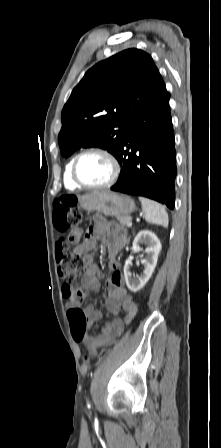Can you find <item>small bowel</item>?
Listing matches in <instances>:
<instances>
[{
  "instance_id": "1",
  "label": "small bowel",
  "mask_w": 221,
  "mask_h": 448,
  "mask_svg": "<svg viewBox=\"0 0 221 448\" xmlns=\"http://www.w3.org/2000/svg\"><path fill=\"white\" fill-rule=\"evenodd\" d=\"M94 222L95 225L92 228L90 237L77 247V250L85 254L87 259V267L82 283L92 293H97L100 289L99 281L96 278L98 267L92 262L90 252L101 242L108 249V262L109 267L112 269V274L107 280L108 295L105 300V306L115 316V319L108 323L99 334H87L84 337V343L87 348L91 353L96 354L99 349L112 345L116 338L122 334L124 323H129L132 320L136 314L137 306L124 287L122 275L117 269L116 257L127 241L126 235L118 229H114L104 218L97 217L94 219ZM121 311L126 313L124 322L118 318ZM82 312L85 315L86 324L89 328L102 317L101 312L92 305H87Z\"/></svg>"
}]
</instances>
